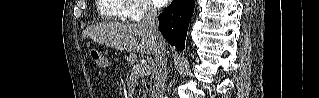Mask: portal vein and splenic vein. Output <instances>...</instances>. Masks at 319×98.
<instances>
[{
	"label": "portal vein and splenic vein",
	"mask_w": 319,
	"mask_h": 98,
	"mask_svg": "<svg viewBox=\"0 0 319 98\" xmlns=\"http://www.w3.org/2000/svg\"><path fill=\"white\" fill-rule=\"evenodd\" d=\"M149 70H150V67L147 65H143V66L135 65L133 67V71H134L135 75L145 74L146 72H149Z\"/></svg>",
	"instance_id": "portal-vein-and-splenic-vein-1"
}]
</instances>
